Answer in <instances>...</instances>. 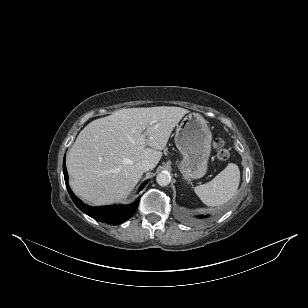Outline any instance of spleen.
<instances>
[{"mask_svg": "<svg viewBox=\"0 0 308 308\" xmlns=\"http://www.w3.org/2000/svg\"><path fill=\"white\" fill-rule=\"evenodd\" d=\"M240 183V171L236 164L227 167L210 182L196 186L195 193L207 206H220L231 200L237 193Z\"/></svg>", "mask_w": 308, "mask_h": 308, "instance_id": "1", "label": "spleen"}]
</instances>
